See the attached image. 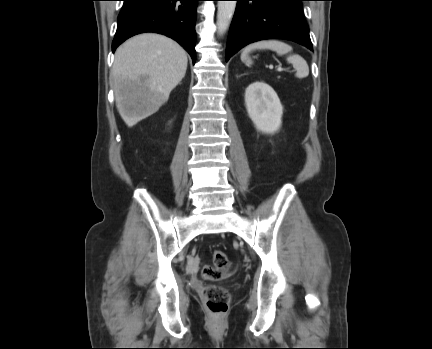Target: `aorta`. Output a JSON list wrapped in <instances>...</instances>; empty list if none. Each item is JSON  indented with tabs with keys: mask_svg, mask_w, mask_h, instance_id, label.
I'll list each match as a JSON object with an SVG mask.
<instances>
[{
	"mask_svg": "<svg viewBox=\"0 0 432 349\" xmlns=\"http://www.w3.org/2000/svg\"><path fill=\"white\" fill-rule=\"evenodd\" d=\"M236 8V1H218L216 25L218 33L224 34L228 29Z\"/></svg>",
	"mask_w": 432,
	"mask_h": 349,
	"instance_id": "762f6f07",
	"label": "aorta"
}]
</instances>
